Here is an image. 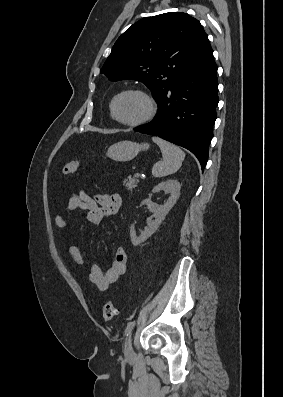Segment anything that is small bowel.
<instances>
[{"instance_id": "1", "label": "small bowel", "mask_w": 283, "mask_h": 397, "mask_svg": "<svg viewBox=\"0 0 283 397\" xmlns=\"http://www.w3.org/2000/svg\"><path fill=\"white\" fill-rule=\"evenodd\" d=\"M121 205L122 199L118 194H99L91 197L83 190H79L70 194L66 214H57L54 221L57 227L64 229L69 225L70 215L75 210L82 209L87 211L86 218L89 223L99 225L105 217L115 215ZM69 254L76 264L84 263L83 255L77 245L72 244L69 247ZM126 268L127 253L123 247L119 246L115 251L111 266L106 271L99 265L93 264L87 272V277L99 290L105 291L126 272Z\"/></svg>"}]
</instances>
